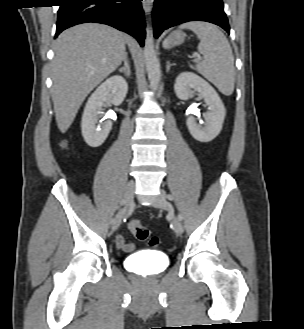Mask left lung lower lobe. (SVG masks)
I'll return each mask as SVG.
<instances>
[{"label":"left lung lower lobe","instance_id":"0a47b994","mask_svg":"<svg viewBox=\"0 0 304 329\" xmlns=\"http://www.w3.org/2000/svg\"><path fill=\"white\" fill-rule=\"evenodd\" d=\"M196 20L219 25L230 34L222 0H155L154 2L155 38L169 27Z\"/></svg>","mask_w":304,"mask_h":329}]
</instances>
